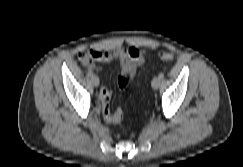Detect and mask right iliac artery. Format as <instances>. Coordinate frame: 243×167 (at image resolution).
Wrapping results in <instances>:
<instances>
[{"label":"right iliac artery","mask_w":243,"mask_h":167,"mask_svg":"<svg viewBox=\"0 0 243 167\" xmlns=\"http://www.w3.org/2000/svg\"><path fill=\"white\" fill-rule=\"evenodd\" d=\"M87 74H88L89 76H93V72H92V71H88Z\"/></svg>","instance_id":"82829eb1"}]
</instances>
